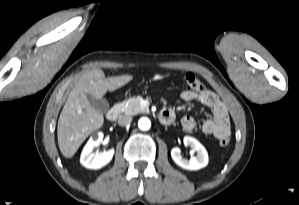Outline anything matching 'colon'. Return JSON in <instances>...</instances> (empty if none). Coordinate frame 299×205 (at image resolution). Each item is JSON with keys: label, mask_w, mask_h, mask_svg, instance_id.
Instances as JSON below:
<instances>
[{"label": "colon", "mask_w": 299, "mask_h": 205, "mask_svg": "<svg viewBox=\"0 0 299 205\" xmlns=\"http://www.w3.org/2000/svg\"><path fill=\"white\" fill-rule=\"evenodd\" d=\"M183 81L186 85L187 90L201 93L205 91L204 84L192 73H187L183 76ZM229 136H225L219 139L220 146H227L229 144Z\"/></svg>", "instance_id": "colon-1"}]
</instances>
